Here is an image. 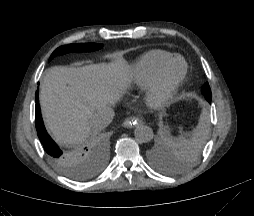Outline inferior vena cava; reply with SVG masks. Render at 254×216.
Masks as SVG:
<instances>
[{"mask_svg": "<svg viewBox=\"0 0 254 216\" xmlns=\"http://www.w3.org/2000/svg\"><path fill=\"white\" fill-rule=\"evenodd\" d=\"M115 111L109 106L99 108L90 118V127L95 131L105 129L113 120Z\"/></svg>", "mask_w": 254, "mask_h": 216, "instance_id": "602c4592", "label": "inferior vena cava"}]
</instances>
